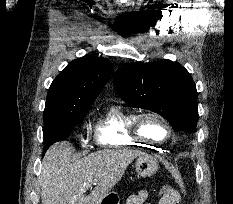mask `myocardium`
Instances as JSON below:
<instances>
[{"instance_id": "1", "label": "myocardium", "mask_w": 233, "mask_h": 204, "mask_svg": "<svg viewBox=\"0 0 233 204\" xmlns=\"http://www.w3.org/2000/svg\"><path fill=\"white\" fill-rule=\"evenodd\" d=\"M148 118L156 119L165 126L166 131H167L165 138L155 139L145 134V132L143 131L142 125H143L144 120ZM132 132L138 138L148 141V142H152V143H164L168 141L173 134L172 126L170 122L168 121V119L164 117L162 114L155 112V111H151V110L143 111L141 113L136 114L133 120V123H132Z\"/></svg>"}]
</instances>
